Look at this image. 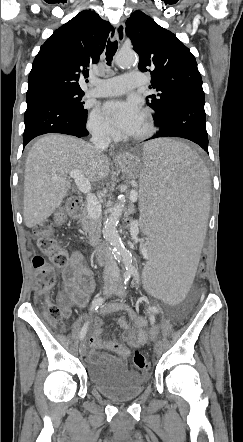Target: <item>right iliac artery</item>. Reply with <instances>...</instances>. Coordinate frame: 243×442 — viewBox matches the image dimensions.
Masks as SVG:
<instances>
[{"mask_svg": "<svg viewBox=\"0 0 243 442\" xmlns=\"http://www.w3.org/2000/svg\"><path fill=\"white\" fill-rule=\"evenodd\" d=\"M130 277H131L130 272H126L124 274V280H123V286H122L123 289H126V286L128 284ZM103 301H104V299L102 297H100V296L95 297L91 303L90 311L91 312L96 311L102 305ZM87 329H88V322H86L83 325V327L80 331V339L81 340L85 337Z\"/></svg>", "mask_w": 243, "mask_h": 442, "instance_id": "82829eb1", "label": "right iliac artery"}]
</instances>
